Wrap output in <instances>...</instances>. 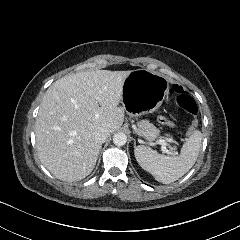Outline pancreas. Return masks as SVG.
<instances>
[{"instance_id": "obj_1", "label": "pancreas", "mask_w": 240, "mask_h": 240, "mask_svg": "<svg viewBox=\"0 0 240 240\" xmlns=\"http://www.w3.org/2000/svg\"><path fill=\"white\" fill-rule=\"evenodd\" d=\"M137 126L138 128L135 130V133L144 137L148 141L155 140L160 134V130L148 120H141L137 122Z\"/></svg>"}]
</instances>
